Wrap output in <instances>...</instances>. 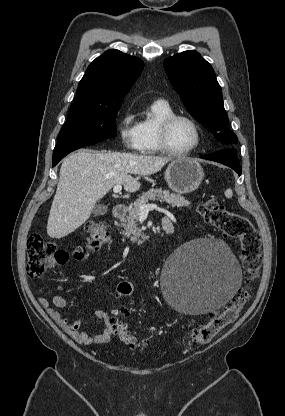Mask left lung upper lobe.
<instances>
[{"label":"left lung upper lobe","instance_id":"5c2ea615","mask_svg":"<svg viewBox=\"0 0 285 416\" xmlns=\"http://www.w3.org/2000/svg\"><path fill=\"white\" fill-rule=\"evenodd\" d=\"M168 78L189 113L214 132L224 144L238 143L228 128L222 90L212 66L196 51H185L164 61Z\"/></svg>","mask_w":285,"mask_h":416}]
</instances>
